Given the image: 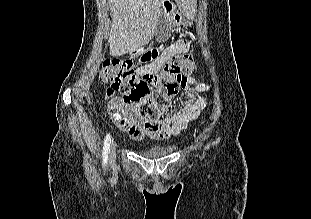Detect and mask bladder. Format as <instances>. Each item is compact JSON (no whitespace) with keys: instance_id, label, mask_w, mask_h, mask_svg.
Here are the masks:
<instances>
[{"instance_id":"1","label":"bladder","mask_w":311,"mask_h":219,"mask_svg":"<svg viewBox=\"0 0 311 219\" xmlns=\"http://www.w3.org/2000/svg\"><path fill=\"white\" fill-rule=\"evenodd\" d=\"M175 150L173 146H154L144 152V156L148 158H161L167 156Z\"/></svg>"}]
</instances>
